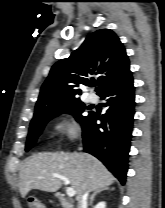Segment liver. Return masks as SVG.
I'll return each mask as SVG.
<instances>
[{
	"instance_id": "obj_1",
	"label": "liver",
	"mask_w": 165,
	"mask_h": 208,
	"mask_svg": "<svg viewBox=\"0 0 165 208\" xmlns=\"http://www.w3.org/2000/svg\"><path fill=\"white\" fill-rule=\"evenodd\" d=\"M56 173L67 177L77 199L85 191H96L114 183V176L95 157L85 153H38L28 157L19 172V191L24 198L32 189L56 192L62 180Z\"/></svg>"
}]
</instances>
